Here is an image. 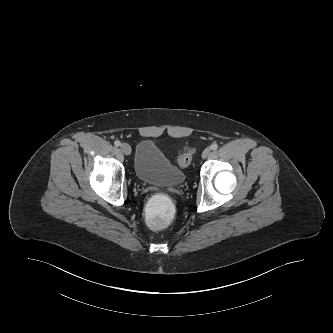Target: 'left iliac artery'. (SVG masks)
<instances>
[{
	"instance_id": "44dca946",
	"label": "left iliac artery",
	"mask_w": 333,
	"mask_h": 333,
	"mask_svg": "<svg viewBox=\"0 0 333 333\" xmlns=\"http://www.w3.org/2000/svg\"><path fill=\"white\" fill-rule=\"evenodd\" d=\"M218 148V144L217 143H213L212 145H211V149L212 150H216Z\"/></svg>"
}]
</instances>
